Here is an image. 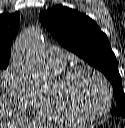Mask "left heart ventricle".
<instances>
[{"mask_svg": "<svg viewBox=\"0 0 125 128\" xmlns=\"http://www.w3.org/2000/svg\"><path fill=\"white\" fill-rule=\"evenodd\" d=\"M67 96L76 110L84 114L100 112L106 103L104 87L97 76L83 71L67 87Z\"/></svg>", "mask_w": 125, "mask_h": 128, "instance_id": "obj_1", "label": "left heart ventricle"}]
</instances>
